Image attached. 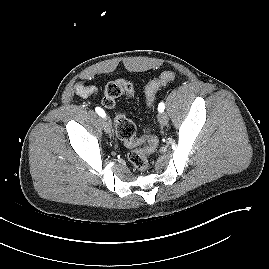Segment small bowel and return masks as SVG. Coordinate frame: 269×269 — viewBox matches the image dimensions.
<instances>
[{"label":"small bowel","instance_id":"c3829d8e","mask_svg":"<svg viewBox=\"0 0 269 269\" xmlns=\"http://www.w3.org/2000/svg\"><path fill=\"white\" fill-rule=\"evenodd\" d=\"M75 93L80 97L97 96L98 89L93 85H85L84 83H77L74 87Z\"/></svg>","mask_w":269,"mask_h":269}]
</instances>
